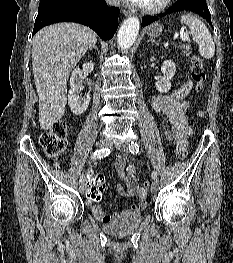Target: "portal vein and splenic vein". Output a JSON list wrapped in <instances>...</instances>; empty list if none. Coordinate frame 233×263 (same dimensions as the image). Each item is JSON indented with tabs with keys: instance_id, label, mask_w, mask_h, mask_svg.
Listing matches in <instances>:
<instances>
[{
	"instance_id": "portal-vein-and-splenic-vein-1",
	"label": "portal vein and splenic vein",
	"mask_w": 233,
	"mask_h": 263,
	"mask_svg": "<svg viewBox=\"0 0 233 263\" xmlns=\"http://www.w3.org/2000/svg\"><path fill=\"white\" fill-rule=\"evenodd\" d=\"M180 37L183 41H189V34L188 33H183L180 35Z\"/></svg>"
}]
</instances>
